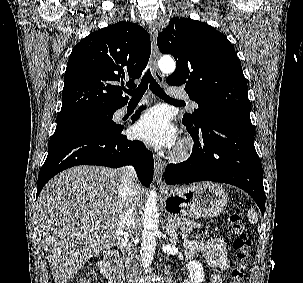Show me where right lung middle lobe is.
<instances>
[{"instance_id":"obj_1","label":"right lung middle lobe","mask_w":303,"mask_h":283,"mask_svg":"<svg viewBox=\"0 0 303 283\" xmlns=\"http://www.w3.org/2000/svg\"><path fill=\"white\" fill-rule=\"evenodd\" d=\"M114 111H86L65 116H58L55 132L86 129L95 132H109L120 129L122 126L112 121Z\"/></svg>"}]
</instances>
